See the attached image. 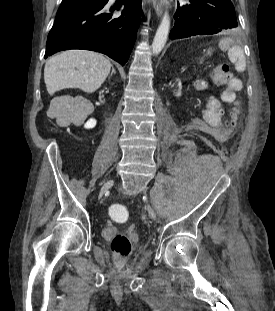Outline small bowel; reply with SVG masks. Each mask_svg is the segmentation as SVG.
Instances as JSON below:
<instances>
[{
	"label": "small bowel",
	"instance_id": "obj_1",
	"mask_svg": "<svg viewBox=\"0 0 275 311\" xmlns=\"http://www.w3.org/2000/svg\"><path fill=\"white\" fill-rule=\"evenodd\" d=\"M219 45L223 49L220 50L221 62H238V57H244V50L230 37L221 39ZM230 69V64H217L209 71V82L208 80H189L188 82L189 87H194V92L204 93V97L201 98V101L204 102L201 111L202 121L206 122V125L210 126L211 129H214L215 133H219L220 142H223L224 139H232V133H234L237 124L234 118H229L227 122L223 119L225 111L222 101H220V97L217 96L216 92H210V87H226L229 82L238 80L233 78L229 72ZM234 104L233 116L236 117L239 102L235 101ZM96 122V119L91 117L81 123L85 129H92L96 126Z\"/></svg>",
	"mask_w": 275,
	"mask_h": 311
}]
</instances>
